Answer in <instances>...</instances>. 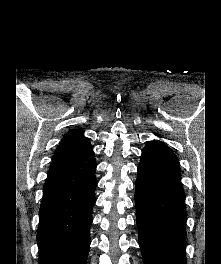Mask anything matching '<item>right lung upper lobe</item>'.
Masks as SVG:
<instances>
[{
    "mask_svg": "<svg viewBox=\"0 0 221 264\" xmlns=\"http://www.w3.org/2000/svg\"><path fill=\"white\" fill-rule=\"evenodd\" d=\"M92 152V146L83 136V131L73 130L68 132L59 143L52 164L74 160Z\"/></svg>",
    "mask_w": 221,
    "mask_h": 264,
    "instance_id": "right-lung-upper-lobe-1",
    "label": "right lung upper lobe"
}]
</instances>
